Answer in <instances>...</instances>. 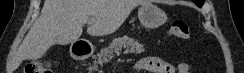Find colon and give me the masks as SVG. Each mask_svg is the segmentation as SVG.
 <instances>
[{"label": "colon", "instance_id": "obj_1", "mask_svg": "<svg viewBox=\"0 0 244 73\" xmlns=\"http://www.w3.org/2000/svg\"><path fill=\"white\" fill-rule=\"evenodd\" d=\"M170 34L178 40H189L190 30L187 22L184 20H174L170 25ZM24 73H51V67L48 62L34 60L28 63L24 69Z\"/></svg>", "mask_w": 244, "mask_h": 73}]
</instances>
